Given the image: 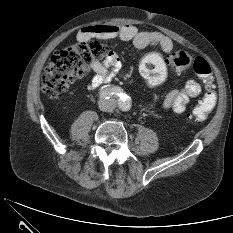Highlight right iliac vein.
Masks as SVG:
<instances>
[{
    "label": "right iliac vein",
    "instance_id": "1",
    "mask_svg": "<svg viewBox=\"0 0 233 233\" xmlns=\"http://www.w3.org/2000/svg\"><path fill=\"white\" fill-rule=\"evenodd\" d=\"M108 107H109V105H108L107 101H100L99 102L100 110L105 111V110H107Z\"/></svg>",
    "mask_w": 233,
    "mask_h": 233
}]
</instances>
